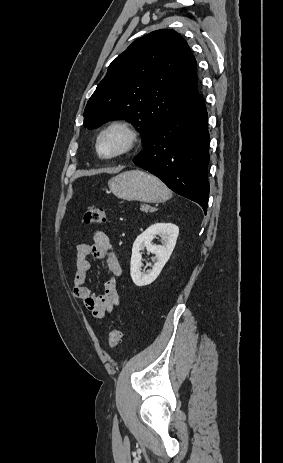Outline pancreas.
I'll return each mask as SVG.
<instances>
[{"mask_svg": "<svg viewBox=\"0 0 283 463\" xmlns=\"http://www.w3.org/2000/svg\"><path fill=\"white\" fill-rule=\"evenodd\" d=\"M140 210L143 212H154V208L150 207L149 205H141Z\"/></svg>", "mask_w": 283, "mask_h": 463, "instance_id": "1", "label": "pancreas"}]
</instances>
